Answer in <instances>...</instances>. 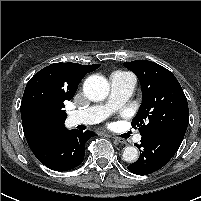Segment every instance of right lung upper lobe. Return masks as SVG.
Returning a JSON list of instances; mask_svg holds the SVG:
<instances>
[{"mask_svg":"<svg viewBox=\"0 0 201 201\" xmlns=\"http://www.w3.org/2000/svg\"><path fill=\"white\" fill-rule=\"evenodd\" d=\"M100 64L81 65L78 63H54L36 73L27 83L22 103L21 118L23 131L30 148L37 146L49 138L67 129L64 126L66 114L40 115L29 109L27 100L31 91L37 86H47L65 100H71L83 77Z\"/></svg>","mask_w":201,"mask_h":201,"instance_id":"obj_1","label":"right lung upper lobe"}]
</instances>
